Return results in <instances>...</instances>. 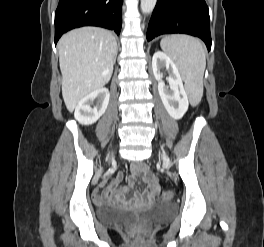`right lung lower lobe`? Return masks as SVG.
I'll return each instance as SVG.
<instances>
[{
	"mask_svg": "<svg viewBox=\"0 0 264 247\" xmlns=\"http://www.w3.org/2000/svg\"><path fill=\"white\" fill-rule=\"evenodd\" d=\"M122 2L123 0H59L55 12V44L63 33L82 26H99L119 35Z\"/></svg>",
	"mask_w": 264,
	"mask_h": 247,
	"instance_id": "98d812e1",
	"label": "right lung lower lobe"
}]
</instances>
